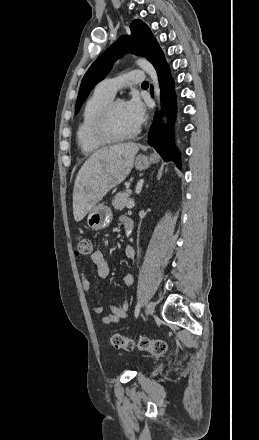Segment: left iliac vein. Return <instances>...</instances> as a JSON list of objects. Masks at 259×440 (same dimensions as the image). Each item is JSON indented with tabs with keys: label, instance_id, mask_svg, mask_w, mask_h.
I'll use <instances>...</instances> for the list:
<instances>
[{
	"label": "left iliac vein",
	"instance_id": "1",
	"mask_svg": "<svg viewBox=\"0 0 259 440\" xmlns=\"http://www.w3.org/2000/svg\"><path fill=\"white\" fill-rule=\"evenodd\" d=\"M155 311V303L153 301L149 302L147 305L146 313L148 316L152 315Z\"/></svg>",
	"mask_w": 259,
	"mask_h": 440
}]
</instances>
